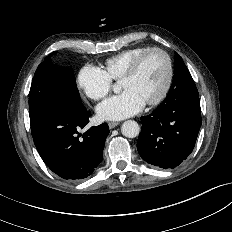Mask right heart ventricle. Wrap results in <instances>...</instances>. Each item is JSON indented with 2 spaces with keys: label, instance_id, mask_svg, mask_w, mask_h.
I'll use <instances>...</instances> for the list:
<instances>
[{
  "label": "right heart ventricle",
  "instance_id": "obj_1",
  "mask_svg": "<svg viewBox=\"0 0 232 232\" xmlns=\"http://www.w3.org/2000/svg\"><path fill=\"white\" fill-rule=\"evenodd\" d=\"M150 47H134L124 50L104 61L103 70L111 80H120L130 63Z\"/></svg>",
  "mask_w": 232,
  "mask_h": 232
}]
</instances>
